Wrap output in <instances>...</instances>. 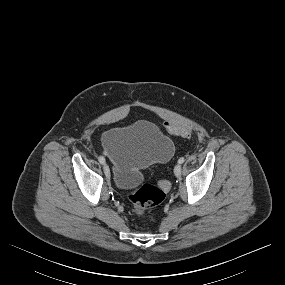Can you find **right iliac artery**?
<instances>
[{"label": "right iliac artery", "mask_w": 285, "mask_h": 285, "mask_svg": "<svg viewBox=\"0 0 285 285\" xmlns=\"http://www.w3.org/2000/svg\"><path fill=\"white\" fill-rule=\"evenodd\" d=\"M98 160L101 164L105 163V158L103 156H100Z\"/></svg>", "instance_id": "obj_1"}]
</instances>
